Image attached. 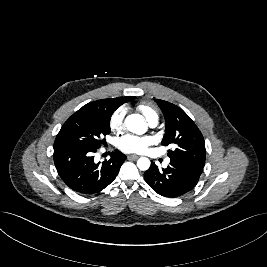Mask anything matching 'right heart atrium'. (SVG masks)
<instances>
[{"label": "right heart atrium", "mask_w": 267, "mask_h": 267, "mask_svg": "<svg viewBox=\"0 0 267 267\" xmlns=\"http://www.w3.org/2000/svg\"><path fill=\"white\" fill-rule=\"evenodd\" d=\"M126 112V108L121 106L112 113L109 120V125L112 131L118 132L123 129Z\"/></svg>", "instance_id": "right-heart-atrium-1"}]
</instances>
